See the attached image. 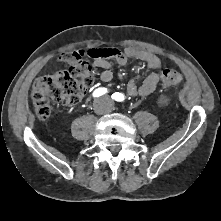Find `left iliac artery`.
<instances>
[{"mask_svg":"<svg viewBox=\"0 0 221 221\" xmlns=\"http://www.w3.org/2000/svg\"><path fill=\"white\" fill-rule=\"evenodd\" d=\"M112 99L118 101V102H121L124 100V95L119 93V92H116L112 95Z\"/></svg>","mask_w":221,"mask_h":221,"instance_id":"44dca946","label":"left iliac artery"}]
</instances>
